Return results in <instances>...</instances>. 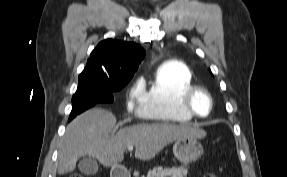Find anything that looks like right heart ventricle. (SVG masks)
<instances>
[{"label": "right heart ventricle", "mask_w": 287, "mask_h": 177, "mask_svg": "<svg viewBox=\"0 0 287 177\" xmlns=\"http://www.w3.org/2000/svg\"><path fill=\"white\" fill-rule=\"evenodd\" d=\"M194 86L187 66L169 63L161 66L150 83L138 113L146 120L161 123H187L193 116L180 104L186 90Z\"/></svg>", "instance_id": "right-heart-ventricle-1"}]
</instances>
